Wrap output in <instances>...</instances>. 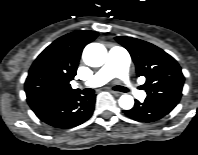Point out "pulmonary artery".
<instances>
[{
  "label": "pulmonary artery",
  "instance_id": "e3ab8cb5",
  "mask_svg": "<svg viewBox=\"0 0 198 155\" xmlns=\"http://www.w3.org/2000/svg\"><path fill=\"white\" fill-rule=\"evenodd\" d=\"M130 57L121 48L114 47L108 53V58L104 66L96 72L87 82L86 86L98 87L111 79L120 78L128 90L139 100H144L146 93L140 90L129 76Z\"/></svg>",
  "mask_w": 198,
  "mask_h": 155
}]
</instances>
